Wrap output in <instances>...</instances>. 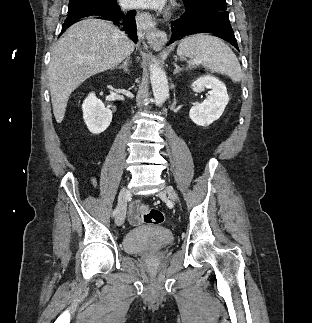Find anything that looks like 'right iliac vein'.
<instances>
[{
  "mask_svg": "<svg viewBox=\"0 0 312 323\" xmlns=\"http://www.w3.org/2000/svg\"><path fill=\"white\" fill-rule=\"evenodd\" d=\"M130 194L126 187H123L121 191L119 192L118 196V212L116 217V223L118 226H121L125 221L126 216V203L127 199L129 198Z\"/></svg>",
  "mask_w": 312,
  "mask_h": 323,
  "instance_id": "1",
  "label": "right iliac vein"
}]
</instances>
